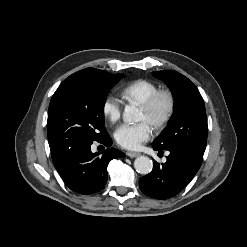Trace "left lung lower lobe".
<instances>
[{
	"label": "left lung lower lobe",
	"instance_id": "obj_1",
	"mask_svg": "<svg viewBox=\"0 0 247 247\" xmlns=\"http://www.w3.org/2000/svg\"><path fill=\"white\" fill-rule=\"evenodd\" d=\"M152 147L162 152L154 143ZM168 151L167 161L161 165L154 161L152 172L139 180V187L147 196L167 199L176 195L192 180L201 166L204 153L188 147H175Z\"/></svg>",
	"mask_w": 247,
	"mask_h": 247
}]
</instances>
